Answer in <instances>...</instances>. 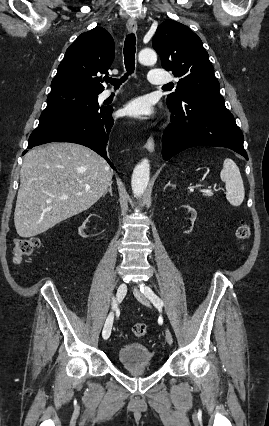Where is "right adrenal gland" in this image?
I'll return each mask as SVG.
<instances>
[{"label": "right adrenal gland", "instance_id": "obj_1", "mask_svg": "<svg viewBox=\"0 0 269 426\" xmlns=\"http://www.w3.org/2000/svg\"><path fill=\"white\" fill-rule=\"evenodd\" d=\"M108 192L110 193L111 196L113 195L112 194V183L109 185L108 190H106V192L103 194V196H105Z\"/></svg>", "mask_w": 269, "mask_h": 426}]
</instances>
